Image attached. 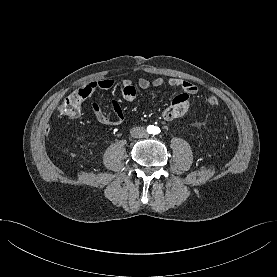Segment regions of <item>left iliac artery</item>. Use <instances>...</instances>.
Here are the masks:
<instances>
[{
    "label": "left iliac artery",
    "instance_id": "obj_1",
    "mask_svg": "<svg viewBox=\"0 0 277 277\" xmlns=\"http://www.w3.org/2000/svg\"><path fill=\"white\" fill-rule=\"evenodd\" d=\"M158 133H160V129H159V127H155L154 128V134H158Z\"/></svg>",
    "mask_w": 277,
    "mask_h": 277
}]
</instances>
